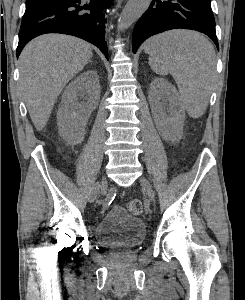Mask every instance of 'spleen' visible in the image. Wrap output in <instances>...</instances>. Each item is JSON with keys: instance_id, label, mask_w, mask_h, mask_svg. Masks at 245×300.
I'll use <instances>...</instances> for the list:
<instances>
[{"instance_id": "spleen-1", "label": "spleen", "mask_w": 245, "mask_h": 300, "mask_svg": "<svg viewBox=\"0 0 245 300\" xmlns=\"http://www.w3.org/2000/svg\"><path fill=\"white\" fill-rule=\"evenodd\" d=\"M144 51L155 73L173 76L189 115L200 117L208 106L215 70L211 43L199 33L172 30L149 38Z\"/></svg>"}]
</instances>
